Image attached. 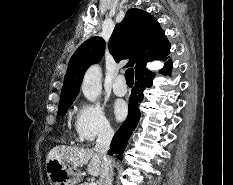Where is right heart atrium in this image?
<instances>
[{
    "label": "right heart atrium",
    "instance_id": "d8ad5b80",
    "mask_svg": "<svg viewBox=\"0 0 233 185\" xmlns=\"http://www.w3.org/2000/svg\"><path fill=\"white\" fill-rule=\"evenodd\" d=\"M111 133V124L100 105L82 102L78 106L74 120V134L78 142L88 144Z\"/></svg>",
    "mask_w": 233,
    "mask_h": 185
}]
</instances>
